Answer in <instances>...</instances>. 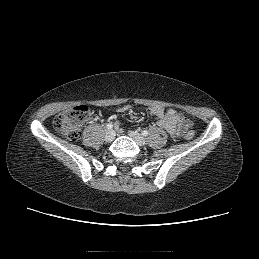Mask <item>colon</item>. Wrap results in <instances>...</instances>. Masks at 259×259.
I'll list each match as a JSON object with an SVG mask.
<instances>
[{"label": "colon", "mask_w": 259, "mask_h": 259, "mask_svg": "<svg viewBox=\"0 0 259 259\" xmlns=\"http://www.w3.org/2000/svg\"><path fill=\"white\" fill-rule=\"evenodd\" d=\"M90 116V109L87 105H78L60 112L54 119V127L62 135L71 141L80 138L84 123ZM195 133L190 130L185 133L187 140H192Z\"/></svg>", "instance_id": "1"}]
</instances>
